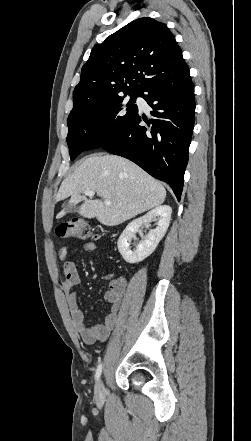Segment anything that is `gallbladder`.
I'll return each instance as SVG.
<instances>
[{"instance_id":"bac80fb5","label":"gallbladder","mask_w":251,"mask_h":441,"mask_svg":"<svg viewBox=\"0 0 251 441\" xmlns=\"http://www.w3.org/2000/svg\"><path fill=\"white\" fill-rule=\"evenodd\" d=\"M77 209L78 208L76 207V205L73 204L72 202H70L64 206V210L68 213H75V212H77Z\"/></svg>"}]
</instances>
